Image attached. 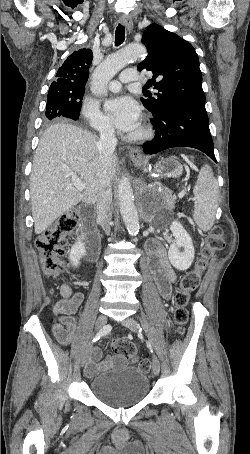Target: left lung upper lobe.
I'll list each match as a JSON object with an SVG mask.
<instances>
[{
    "mask_svg": "<svg viewBox=\"0 0 250 454\" xmlns=\"http://www.w3.org/2000/svg\"><path fill=\"white\" fill-rule=\"evenodd\" d=\"M142 42L148 56L138 70L153 73L149 81L159 92L141 101L153 116L176 105L205 104L199 58L189 42L157 24L145 28Z\"/></svg>",
    "mask_w": 250,
    "mask_h": 454,
    "instance_id": "obj_1",
    "label": "left lung upper lobe"
}]
</instances>
